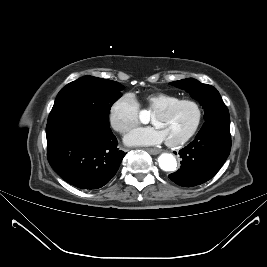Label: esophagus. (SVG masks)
<instances>
[{
  "label": "esophagus",
  "mask_w": 267,
  "mask_h": 267,
  "mask_svg": "<svg viewBox=\"0 0 267 267\" xmlns=\"http://www.w3.org/2000/svg\"><path fill=\"white\" fill-rule=\"evenodd\" d=\"M146 151L152 155H156V154L160 153V150L156 149V148H147Z\"/></svg>",
  "instance_id": "obj_1"
}]
</instances>
